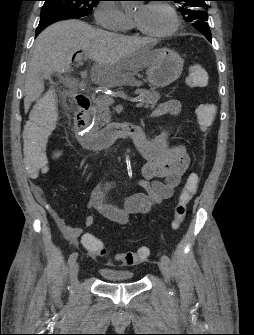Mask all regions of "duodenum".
I'll return each instance as SVG.
<instances>
[{"label": "duodenum", "mask_w": 254, "mask_h": 335, "mask_svg": "<svg viewBox=\"0 0 254 335\" xmlns=\"http://www.w3.org/2000/svg\"><path fill=\"white\" fill-rule=\"evenodd\" d=\"M75 132L78 141L87 149L98 150L110 147L118 138L127 137L133 142L142 140L144 134L136 124L113 123L101 130H93L89 123L91 100L86 94L75 96Z\"/></svg>", "instance_id": "duodenum-1"}]
</instances>
